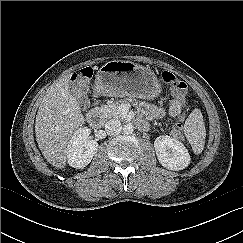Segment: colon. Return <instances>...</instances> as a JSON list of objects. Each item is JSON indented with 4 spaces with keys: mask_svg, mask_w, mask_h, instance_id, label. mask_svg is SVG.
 <instances>
[{
    "mask_svg": "<svg viewBox=\"0 0 243 243\" xmlns=\"http://www.w3.org/2000/svg\"><path fill=\"white\" fill-rule=\"evenodd\" d=\"M93 76V69L91 67H84L79 72L73 74L71 80L80 85H85ZM163 81L169 85L175 97L179 99L180 102L184 101L185 91H186V83L180 79H178L172 72L165 71L162 74ZM174 120L168 127V131L171 136L175 138L182 137V125L181 122L184 119V114L181 112L178 116L173 117Z\"/></svg>",
    "mask_w": 243,
    "mask_h": 243,
    "instance_id": "obj_1",
    "label": "colon"
}]
</instances>
